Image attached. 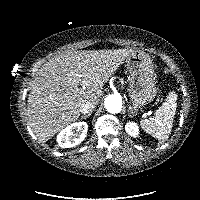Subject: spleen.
Wrapping results in <instances>:
<instances>
[{"label":"spleen","mask_w":200,"mask_h":200,"mask_svg":"<svg viewBox=\"0 0 200 200\" xmlns=\"http://www.w3.org/2000/svg\"><path fill=\"white\" fill-rule=\"evenodd\" d=\"M176 107L177 95L175 92H171L166 102L156 110L153 117L141 120L142 129L159 141H166L173 127Z\"/></svg>","instance_id":"3e777b00"}]
</instances>
